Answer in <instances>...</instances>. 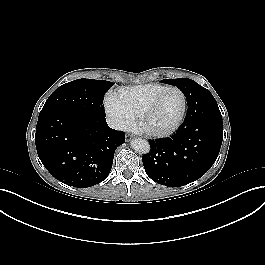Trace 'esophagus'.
Instances as JSON below:
<instances>
[{"mask_svg": "<svg viewBox=\"0 0 265 265\" xmlns=\"http://www.w3.org/2000/svg\"><path fill=\"white\" fill-rule=\"evenodd\" d=\"M134 136H135V135H133V134L129 135L130 138H132V137H134Z\"/></svg>", "mask_w": 265, "mask_h": 265, "instance_id": "1", "label": "esophagus"}]
</instances>
